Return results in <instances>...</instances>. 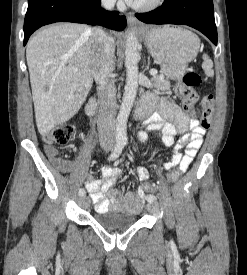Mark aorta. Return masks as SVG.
Masks as SVG:
<instances>
[{"instance_id":"aorta-1","label":"aorta","mask_w":247,"mask_h":275,"mask_svg":"<svg viewBox=\"0 0 247 275\" xmlns=\"http://www.w3.org/2000/svg\"><path fill=\"white\" fill-rule=\"evenodd\" d=\"M138 40L133 32L127 35L125 46L126 84L121 107L116 120V137L127 140V121L138 89Z\"/></svg>"}]
</instances>
